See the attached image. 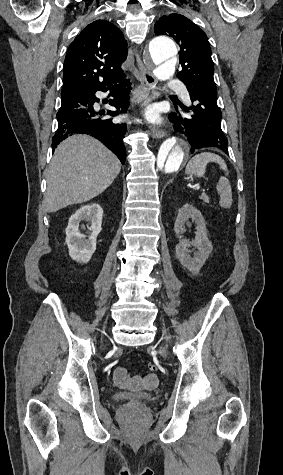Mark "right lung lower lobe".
<instances>
[{"mask_svg": "<svg viewBox=\"0 0 283 475\" xmlns=\"http://www.w3.org/2000/svg\"><path fill=\"white\" fill-rule=\"evenodd\" d=\"M129 89L130 83L124 79L120 83L102 87L79 88L61 95L62 104L57 113L58 128L52 138V147L55 148L69 136L88 134L104 143L124 164L126 150L123 138L127 131L126 126L112 119L100 118L99 115H104L105 111H96L93 105L100 101L95 96L97 91H109V96L113 97L109 104L120 111L108 110L106 114L116 116L119 113H124L129 106V96L127 95Z\"/></svg>", "mask_w": 283, "mask_h": 475, "instance_id": "right-lung-lower-lobe-1", "label": "right lung lower lobe"}]
</instances>
